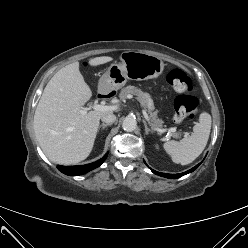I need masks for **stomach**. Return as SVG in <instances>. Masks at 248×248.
Masks as SVG:
<instances>
[{
    "mask_svg": "<svg viewBox=\"0 0 248 248\" xmlns=\"http://www.w3.org/2000/svg\"><path fill=\"white\" fill-rule=\"evenodd\" d=\"M164 70L163 61L154 55L124 51L120 63L112 64L99 80V88L112 92L123 87L127 80H147L157 78Z\"/></svg>",
    "mask_w": 248,
    "mask_h": 248,
    "instance_id": "stomach-1",
    "label": "stomach"
}]
</instances>
